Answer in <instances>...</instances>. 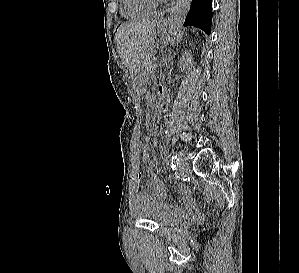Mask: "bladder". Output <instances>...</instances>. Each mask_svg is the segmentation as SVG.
Listing matches in <instances>:
<instances>
[{
  "label": "bladder",
  "instance_id": "bladder-1",
  "mask_svg": "<svg viewBox=\"0 0 299 273\" xmlns=\"http://www.w3.org/2000/svg\"><path fill=\"white\" fill-rule=\"evenodd\" d=\"M138 213L140 219L154 222L159 226H169L177 222L176 218L167 217L159 213L158 211L154 210V208L152 207H149L144 210H139Z\"/></svg>",
  "mask_w": 299,
  "mask_h": 273
}]
</instances>
